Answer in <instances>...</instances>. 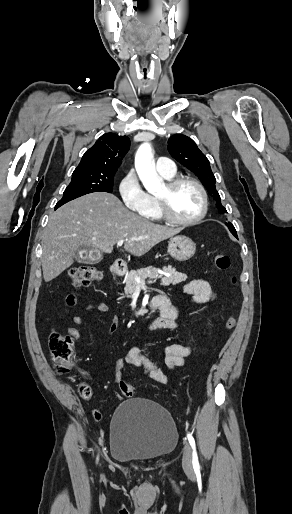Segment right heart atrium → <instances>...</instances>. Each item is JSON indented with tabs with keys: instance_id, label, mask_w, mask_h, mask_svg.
I'll use <instances>...</instances> for the list:
<instances>
[{
	"instance_id": "d8ad5b80",
	"label": "right heart atrium",
	"mask_w": 292,
	"mask_h": 514,
	"mask_svg": "<svg viewBox=\"0 0 292 514\" xmlns=\"http://www.w3.org/2000/svg\"><path fill=\"white\" fill-rule=\"evenodd\" d=\"M118 195L120 200H124L125 209L140 211L147 202V193L133 170L127 171L119 180Z\"/></svg>"
}]
</instances>
